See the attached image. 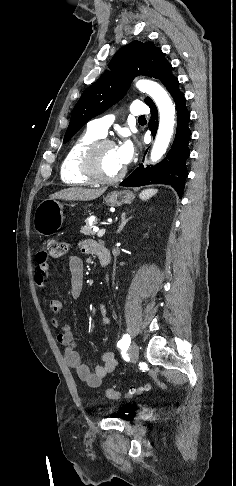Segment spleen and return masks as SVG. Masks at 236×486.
Wrapping results in <instances>:
<instances>
[{"label": "spleen", "mask_w": 236, "mask_h": 486, "mask_svg": "<svg viewBox=\"0 0 236 486\" xmlns=\"http://www.w3.org/2000/svg\"><path fill=\"white\" fill-rule=\"evenodd\" d=\"M158 192L157 189H145L143 190L140 194H139V197L144 200V201H147L149 200L152 196H154L156 193Z\"/></svg>", "instance_id": "1"}]
</instances>
